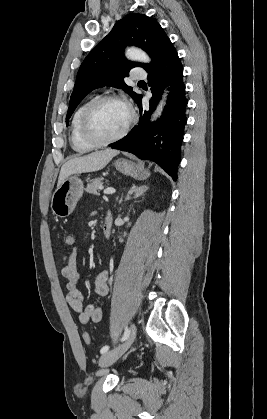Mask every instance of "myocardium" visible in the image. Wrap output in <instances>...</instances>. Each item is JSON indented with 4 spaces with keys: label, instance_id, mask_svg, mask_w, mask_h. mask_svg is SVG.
Instances as JSON below:
<instances>
[{
    "label": "myocardium",
    "instance_id": "obj_1",
    "mask_svg": "<svg viewBox=\"0 0 267 419\" xmlns=\"http://www.w3.org/2000/svg\"><path fill=\"white\" fill-rule=\"evenodd\" d=\"M109 101H115V102H121L123 103L129 112V118L127 123L125 124V126L123 127V129L116 134L115 136H112L110 138H106V139H101L98 138L97 136H95L91 130H90V125H89V121H90V116L93 112V110L100 104L105 103V102H109ZM136 120V114L135 111L133 109V107L131 106V104L122 96L116 95V94H107V95H102V96H98L94 99H92L84 108L81 118H80V126H79V131H80V135L82 137V139L87 142L90 145H93L95 147L98 146H105V145H109L111 143L117 142L119 140H121L123 137L126 136V134L129 132L130 128L132 127V125L134 124Z\"/></svg>",
    "mask_w": 267,
    "mask_h": 419
}]
</instances>
